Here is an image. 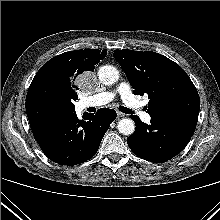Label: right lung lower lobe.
<instances>
[{
  "mask_svg": "<svg viewBox=\"0 0 220 220\" xmlns=\"http://www.w3.org/2000/svg\"><path fill=\"white\" fill-rule=\"evenodd\" d=\"M26 113L42 151L60 165L73 166L94 156L116 111L102 108L96 115L78 119L75 108L27 100Z\"/></svg>",
  "mask_w": 220,
  "mask_h": 220,
  "instance_id": "obj_1",
  "label": "right lung lower lobe"
}]
</instances>
